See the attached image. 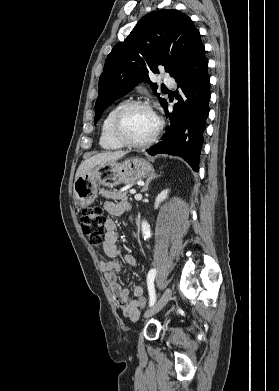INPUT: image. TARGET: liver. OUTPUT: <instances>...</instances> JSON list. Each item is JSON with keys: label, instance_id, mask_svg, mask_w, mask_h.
<instances>
[{"label": "liver", "instance_id": "1", "mask_svg": "<svg viewBox=\"0 0 279 391\" xmlns=\"http://www.w3.org/2000/svg\"><path fill=\"white\" fill-rule=\"evenodd\" d=\"M126 155L125 152H101L98 153L92 157H89L85 159L81 165L79 166L76 175L75 180L87 173L89 170H91L93 167H95L98 164H107L111 162H116L117 160L123 158Z\"/></svg>", "mask_w": 279, "mask_h": 391}]
</instances>
